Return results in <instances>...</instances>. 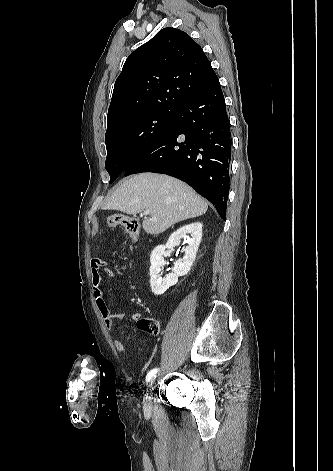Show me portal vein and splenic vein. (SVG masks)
Masks as SVG:
<instances>
[{
	"label": "portal vein and splenic vein",
	"mask_w": 333,
	"mask_h": 471,
	"mask_svg": "<svg viewBox=\"0 0 333 471\" xmlns=\"http://www.w3.org/2000/svg\"><path fill=\"white\" fill-rule=\"evenodd\" d=\"M143 213H144L145 215H148V214H149V211H148V210H144Z\"/></svg>",
	"instance_id": "portal-vein-and-splenic-vein-1"
}]
</instances>
